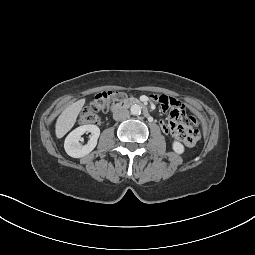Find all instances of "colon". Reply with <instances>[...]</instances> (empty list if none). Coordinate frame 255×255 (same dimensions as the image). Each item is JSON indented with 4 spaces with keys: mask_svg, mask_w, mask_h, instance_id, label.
Instances as JSON below:
<instances>
[{
    "mask_svg": "<svg viewBox=\"0 0 255 255\" xmlns=\"http://www.w3.org/2000/svg\"><path fill=\"white\" fill-rule=\"evenodd\" d=\"M167 96H155V100H157L161 104V100ZM125 98V94L118 90H111L98 93L94 100L82 111L79 122L81 124H96L99 122L100 118L98 116L99 112L106 111L111 104L122 101ZM174 104L175 101H174ZM191 120L195 123V119L189 116ZM199 139H200V131Z\"/></svg>",
    "mask_w": 255,
    "mask_h": 255,
    "instance_id": "obj_1",
    "label": "colon"
}]
</instances>
